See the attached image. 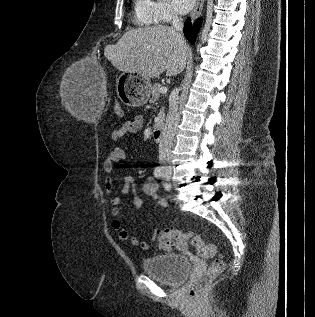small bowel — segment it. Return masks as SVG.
Instances as JSON below:
<instances>
[{
	"label": "small bowel",
	"instance_id": "obj_1",
	"mask_svg": "<svg viewBox=\"0 0 315 317\" xmlns=\"http://www.w3.org/2000/svg\"><path fill=\"white\" fill-rule=\"evenodd\" d=\"M144 125L142 116H135L132 120L124 122L122 125L116 127L112 132V139L117 141L128 134L139 132ZM126 159L125 151L120 148H114L103 163V169L106 173V179L104 184L105 193L110 197L112 209V228L117 233L118 238L122 241H130L132 245L139 246L143 250L150 248L149 241H141L136 236H131L130 233L123 227L121 221L118 219L119 214L125 204L124 197L128 194H132V201L127 206H133L139 210L143 209V200L139 196L138 187L134 177L125 176L121 190L118 194L113 193L114 175L113 171L116 165L122 163ZM159 185L152 177L145 179L141 186L143 194L151 197L159 208L165 209L168 207V203L165 199L158 195ZM158 232L153 230L151 233V241L157 238Z\"/></svg>",
	"mask_w": 315,
	"mask_h": 317
}]
</instances>
